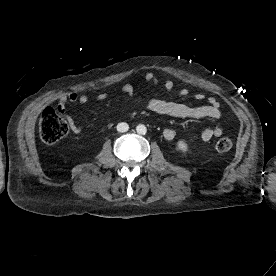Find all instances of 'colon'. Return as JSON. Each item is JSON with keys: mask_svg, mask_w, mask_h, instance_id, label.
Here are the masks:
<instances>
[{"mask_svg": "<svg viewBox=\"0 0 276 276\" xmlns=\"http://www.w3.org/2000/svg\"><path fill=\"white\" fill-rule=\"evenodd\" d=\"M69 131V124L53 107L46 108L39 121V133L43 142L53 144L64 138ZM220 153L231 150L232 140L228 137L220 138L215 145Z\"/></svg>", "mask_w": 276, "mask_h": 276, "instance_id": "5ec220e1", "label": "colon"}]
</instances>
